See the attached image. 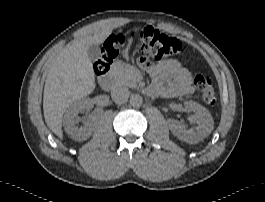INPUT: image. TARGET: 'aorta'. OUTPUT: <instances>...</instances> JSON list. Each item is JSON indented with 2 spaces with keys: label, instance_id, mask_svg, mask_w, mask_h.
Listing matches in <instances>:
<instances>
[{
  "label": "aorta",
  "instance_id": "aorta-1",
  "mask_svg": "<svg viewBox=\"0 0 265 202\" xmlns=\"http://www.w3.org/2000/svg\"><path fill=\"white\" fill-rule=\"evenodd\" d=\"M143 103V98L139 94H133L130 97V105L133 107H140Z\"/></svg>",
  "mask_w": 265,
  "mask_h": 202
}]
</instances>
